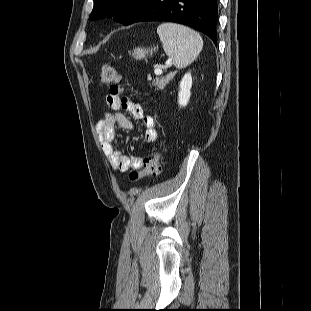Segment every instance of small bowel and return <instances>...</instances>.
Masks as SVG:
<instances>
[{
    "label": "small bowel",
    "instance_id": "small-bowel-1",
    "mask_svg": "<svg viewBox=\"0 0 311 311\" xmlns=\"http://www.w3.org/2000/svg\"><path fill=\"white\" fill-rule=\"evenodd\" d=\"M106 103L111 111L105 112L97 123L96 131L102 142V147L111 167L120 172L139 170L143 167L144 158L141 156L128 157L123 155L115 146L116 126L131 129L132 123L122 112L128 111L134 118L141 119L145 125V142L151 144L158 138L157 121L155 117L146 115L139 103L126 97L108 94Z\"/></svg>",
    "mask_w": 311,
    "mask_h": 311
}]
</instances>
